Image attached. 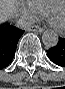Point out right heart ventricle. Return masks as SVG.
Instances as JSON below:
<instances>
[{"label":"right heart ventricle","instance_id":"e07e8e85","mask_svg":"<svg viewBox=\"0 0 65 89\" xmlns=\"http://www.w3.org/2000/svg\"><path fill=\"white\" fill-rule=\"evenodd\" d=\"M32 2H34L40 9H42L43 11L47 10V7L54 1H58V0H31Z\"/></svg>","mask_w":65,"mask_h":89}]
</instances>
